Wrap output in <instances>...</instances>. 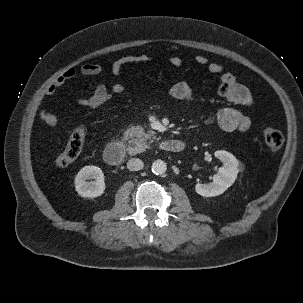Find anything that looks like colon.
Listing matches in <instances>:
<instances>
[{"mask_svg": "<svg viewBox=\"0 0 303 303\" xmlns=\"http://www.w3.org/2000/svg\"><path fill=\"white\" fill-rule=\"evenodd\" d=\"M111 96L112 94L105 93L99 98L91 100L87 107L92 109L100 108L110 99ZM86 134L87 128L85 125L82 124L75 128L66 147L56 157V164L58 166L65 167L78 158L83 149ZM262 138L272 152L279 151L284 142L282 133L278 129L272 127H266L263 129Z\"/></svg>", "mask_w": 303, "mask_h": 303, "instance_id": "obj_1", "label": "colon"}]
</instances>
